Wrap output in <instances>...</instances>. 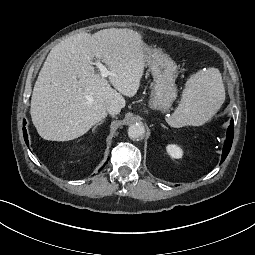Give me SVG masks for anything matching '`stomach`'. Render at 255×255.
<instances>
[{"label":"stomach","mask_w":255,"mask_h":255,"mask_svg":"<svg viewBox=\"0 0 255 255\" xmlns=\"http://www.w3.org/2000/svg\"><path fill=\"white\" fill-rule=\"evenodd\" d=\"M144 55L154 79L149 107L153 110L167 112L177 97L175 80L178 67L167 54L159 49L144 46Z\"/></svg>","instance_id":"0dacf381"}]
</instances>
